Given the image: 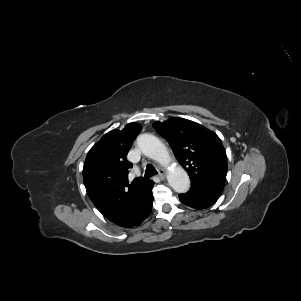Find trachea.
<instances>
[{"instance_id":"obj_1","label":"trachea","mask_w":301,"mask_h":301,"mask_svg":"<svg viewBox=\"0 0 301 301\" xmlns=\"http://www.w3.org/2000/svg\"><path fill=\"white\" fill-rule=\"evenodd\" d=\"M157 173H158V172H157L156 169L153 167V165L148 164V165L146 166L144 178H145V179L150 178V177L156 175Z\"/></svg>"}]
</instances>
